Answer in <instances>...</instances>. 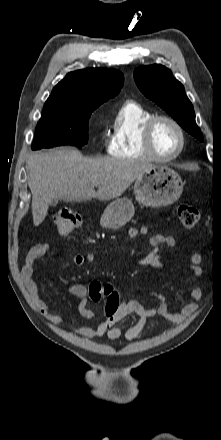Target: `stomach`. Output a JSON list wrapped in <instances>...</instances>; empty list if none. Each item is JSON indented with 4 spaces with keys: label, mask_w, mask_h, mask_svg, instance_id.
Wrapping results in <instances>:
<instances>
[{
    "label": "stomach",
    "mask_w": 221,
    "mask_h": 440,
    "mask_svg": "<svg viewBox=\"0 0 221 440\" xmlns=\"http://www.w3.org/2000/svg\"><path fill=\"white\" fill-rule=\"evenodd\" d=\"M183 181L173 169L159 165L141 175L134 183L136 200L145 206H166L182 194ZM135 209L127 198H117L105 209L100 224L104 228L118 229L134 215Z\"/></svg>",
    "instance_id": "1"
}]
</instances>
